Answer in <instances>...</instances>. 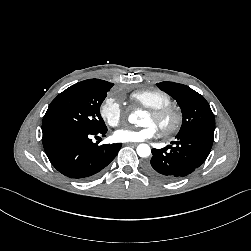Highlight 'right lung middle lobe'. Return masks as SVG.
<instances>
[{
  "mask_svg": "<svg viewBox=\"0 0 251 251\" xmlns=\"http://www.w3.org/2000/svg\"><path fill=\"white\" fill-rule=\"evenodd\" d=\"M113 83L85 80L60 93L49 105L42 122V131L50 128H72L99 131L106 128L100 106Z\"/></svg>",
  "mask_w": 251,
  "mask_h": 251,
  "instance_id": "obj_1",
  "label": "right lung middle lobe"
}]
</instances>
